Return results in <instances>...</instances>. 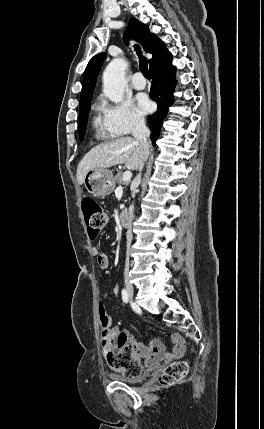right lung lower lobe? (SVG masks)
I'll return each mask as SVG.
<instances>
[{"label": "right lung lower lobe", "mask_w": 264, "mask_h": 429, "mask_svg": "<svg viewBox=\"0 0 264 429\" xmlns=\"http://www.w3.org/2000/svg\"><path fill=\"white\" fill-rule=\"evenodd\" d=\"M172 55L167 51L152 67L150 75L152 76V86L150 90L151 98L158 104L157 111L148 117L150 125L151 141L156 145L160 134L163 120L167 114L169 106L173 103V92L176 85V69L171 65Z\"/></svg>", "instance_id": "1"}]
</instances>
